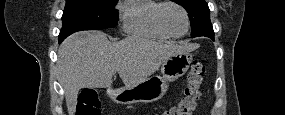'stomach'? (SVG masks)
I'll return each instance as SVG.
<instances>
[{
    "label": "stomach",
    "mask_w": 285,
    "mask_h": 115,
    "mask_svg": "<svg viewBox=\"0 0 285 115\" xmlns=\"http://www.w3.org/2000/svg\"><path fill=\"white\" fill-rule=\"evenodd\" d=\"M191 60L192 56L190 53L176 54L162 63V77H148L146 80L131 87L108 88L107 95L114 102L124 105L155 102L166 94L168 82L177 80L187 72Z\"/></svg>",
    "instance_id": "obj_1"
}]
</instances>
